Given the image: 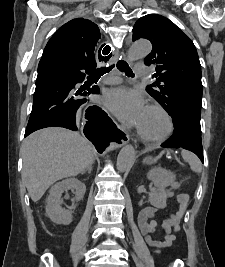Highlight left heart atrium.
<instances>
[{
    "instance_id": "obj_1",
    "label": "left heart atrium",
    "mask_w": 225,
    "mask_h": 267,
    "mask_svg": "<svg viewBox=\"0 0 225 267\" xmlns=\"http://www.w3.org/2000/svg\"><path fill=\"white\" fill-rule=\"evenodd\" d=\"M105 105L122 121L138 127L146 106L140 92L126 87L107 92Z\"/></svg>"
}]
</instances>
